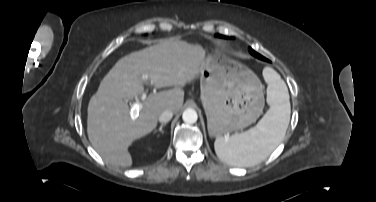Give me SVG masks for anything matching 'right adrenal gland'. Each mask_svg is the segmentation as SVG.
I'll return each mask as SVG.
<instances>
[{
    "label": "right adrenal gland",
    "mask_w": 376,
    "mask_h": 202,
    "mask_svg": "<svg viewBox=\"0 0 376 202\" xmlns=\"http://www.w3.org/2000/svg\"><path fill=\"white\" fill-rule=\"evenodd\" d=\"M166 125V123H163V124H161V126L159 127V129H158V131L161 133V134H163V127ZM155 132H157V130H154V133Z\"/></svg>",
    "instance_id": "right-adrenal-gland-1"
}]
</instances>
